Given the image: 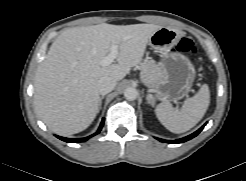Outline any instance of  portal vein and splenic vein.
Returning <instances> with one entry per match:
<instances>
[{
  "label": "portal vein and splenic vein",
  "mask_w": 246,
  "mask_h": 181,
  "mask_svg": "<svg viewBox=\"0 0 246 181\" xmlns=\"http://www.w3.org/2000/svg\"><path fill=\"white\" fill-rule=\"evenodd\" d=\"M117 55H118V46L117 45L111 46L110 53L102 59L101 64L103 66H108L112 64L114 60L117 58Z\"/></svg>",
  "instance_id": "1"
}]
</instances>
